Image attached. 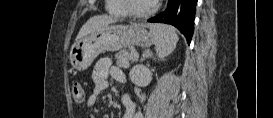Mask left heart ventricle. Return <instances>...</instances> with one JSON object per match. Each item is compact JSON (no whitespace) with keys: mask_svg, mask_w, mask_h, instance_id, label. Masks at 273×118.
<instances>
[{"mask_svg":"<svg viewBox=\"0 0 273 118\" xmlns=\"http://www.w3.org/2000/svg\"><path fill=\"white\" fill-rule=\"evenodd\" d=\"M132 8L136 11H146L152 4L151 0H132Z\"/></svg>","mask_w":273,"mask_h":118,"instance_id":"left-heart-ventricle-1","label":"left heart ventricle"}]
</instances>
